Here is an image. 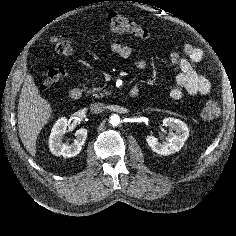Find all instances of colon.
Here are the masks:
<instances>
[{
  "label": "colon",
  "mask_w": 236,
  "mask_h": 236,
  "mask_svg": "<svg viewBox=\"0 0 236 236\" xmlns=\"http://www.w3.org/2000/svg\"><path fill=\"white\" fill-rule=\"evenodd\" d=\"M106 20L110 30L116 34L129 35L140 39H147L151 36L150 32L146 28L141 27L124 14L111 12L107 15ZM50 41L55 46V50L58 54L62 56L72 55L74 50L73 41L67 35L62 34L52 37ZM65 74L66 71L61 67L48 70L45 73L43 81L40 83V89H49L51 85L62 79ZM219 113L220 108L217 102L214 100H208L205 103L201 114L205 120H213L218 117Z\"/></svg>",
  "instance_id": "1"
}]
</instances>
